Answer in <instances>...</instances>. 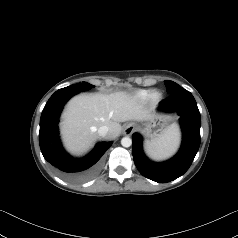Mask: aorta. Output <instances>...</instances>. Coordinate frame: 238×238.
<instances>
[{
	"mask_svg": "<svg viewBox=\"0 0 238 238\" xmlns=\"http://www.w3.org/2000/svg\"><path fill=\"white\" fill-rule=\"evenodd\" d=\"M121 144L123 147H130L132 145V140L129 137H123L121 140Z\"/></svg>",
	"mask_w": 238,
	"mask_h": 238,
	"instance_id": "762f6f07",
	"label": "aorta"
}]
</instances>
